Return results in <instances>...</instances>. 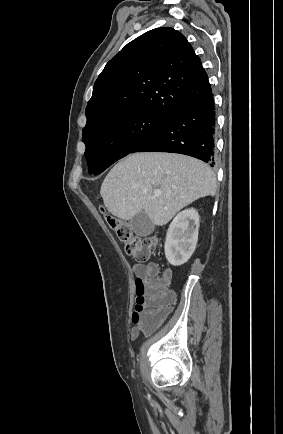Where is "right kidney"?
<instances>
[{
  "mask_svg": "<svg viewBox=\"0 0 283 434\" xmlns=\"http://www.w3.org/2000/svg\"><path fill=\"white\" fill-rule=\"evenodd\" d=\"M199 214L191 208L177 214L171 222L165 240V256L174 266L186 263L198 241Z\"/></svg>",
  "mask_w": 283,
  "mask_h": 434,
  "instance_id": "right-kidney-1",
  "label": "right kidney"
}]
</instances>
